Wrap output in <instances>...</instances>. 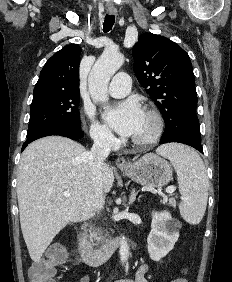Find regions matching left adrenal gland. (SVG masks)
Here are the masks:
<instances>
[{"label":"left adrenal gland","mask_w":232,"mask_h":282,"mask_svg":"<svg viewBox=\"0 0 232 282\" xmlns=\"http://www.w3.org/2000/svg\"><path fill=\"white\" fill-rule=\"evenodd\" d=\"M137 194H138V192H136L135 189H132L131 195L129 197V204H133V202L136 199Z\"/></svg>","instance_id":"1"}]
</instances>
